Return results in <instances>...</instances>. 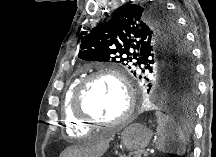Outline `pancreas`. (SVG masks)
<instances>
[{
  "instance_id": "cf45deb5",
  "label": "pancreas",
  "mask_w": 216,
  "mask_h": 157,
  "mask_svg": "<svg viewBox=\"0 0 216 157\" xmlns=\"http://www.w3.org/2000/svg\"><path fill=\"white\" fill-rule=\"evenodd\" d=\"M142 154H143V157H147L148 156V153H146V152H144L142 150H139V151L130 153V155L128 157H142Z\"/></svg>"
}]
</instances>
